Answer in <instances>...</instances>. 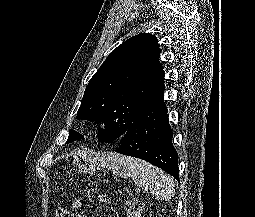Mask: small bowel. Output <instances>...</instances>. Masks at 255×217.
Masks as SVG:
<instances>
[{"mask_svg": "<svg viewBox=\"0 0 255 217\" xmlns=\"http://www.w3.org/2000/svg\"><path fill=\"white\" fill-rule=\"evenodd\" d=\"M76 217H87L85 213H79Z\"/></svg>", "mask_w": 255, "mask_h": 217, "instance_id": "c3829d8e", "label": "small bowel"}]
</instances>
